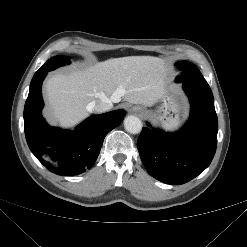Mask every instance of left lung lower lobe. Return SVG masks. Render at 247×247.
Masks as SVG:
<instances>
[{"label": "left lung lower lobe", "instance_id": "0a47b994", "mask_svg": "<svg viewBox=\"0 0 247 247\" xmlns=\"http://www.w3.org/2000/svg\"><path fill=\"white\" fill-rule=\"evenodd\" d=\"M182 82L191 103L190 118L181 131L166 133L144 127L137 141L140 158L157 180L184 184L211 163L217 146L218 122L212 91L206 81Z\"/></svg>", "mask_w": 247, "mask_h": 247}]
</instances>
